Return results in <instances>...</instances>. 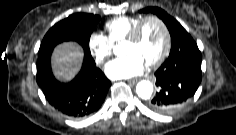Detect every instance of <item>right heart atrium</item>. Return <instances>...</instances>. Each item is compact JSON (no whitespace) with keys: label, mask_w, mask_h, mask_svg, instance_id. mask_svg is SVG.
Segmentation results:
<instances>
[{"label":"right heart atrium","mask_w":236,"mask_h":135,"mask_svg":"<svg viewBox=\"0 0 236 135\" xmlns=\"http://www.w3.org/2000/svg\"><path fill=\"white\" fill-rule=\"evenodd\" d=\"M88 48L98 65H103L112 55L114 45L101 33H91L88 37Z\"/></svg>","instance_id":"d8ad5b80"}]
</instances>
